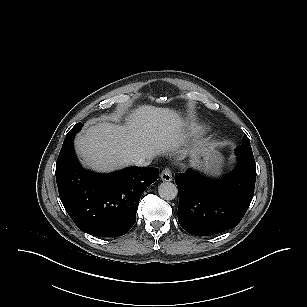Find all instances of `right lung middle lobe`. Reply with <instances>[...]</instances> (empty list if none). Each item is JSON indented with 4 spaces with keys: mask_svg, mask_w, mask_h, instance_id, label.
Here are the masks:
<instances>
[{
    "mask_svg": "<svg viewBox=\"0 0 307 307\" xmlns=\"http://www.w3.org/2000/svg\"><path fill=\"white\" fill-rule=\"evenodd\" d=\"M83 124H76L70 131L69 133H77L78 131H80V129L82 128Z\"/></svg>",
    "mask_w": 307,
    "mask_h": 307,
    "instance_id": "obj_1",
    "label": "right lung middle lobe"
}]
</instances>
